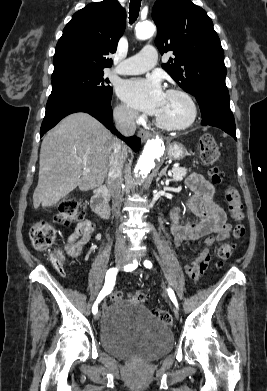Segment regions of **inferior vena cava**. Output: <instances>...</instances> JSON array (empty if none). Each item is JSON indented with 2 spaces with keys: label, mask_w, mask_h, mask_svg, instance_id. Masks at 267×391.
Masks as SVG:
<instances>
[{
  "label": "inferior vena cava",
  "mask_w": 267,
  "mask_h": 391,
  "mask_svg": "<svg viewBox=\"0 0 267 391\" xmlns=\"http://www.w3.org/2000/svg\"><path fill=\"white\" fill-rule=\"evenodd\" d=\"M137 113L134 111H122L114 115L116 128L124 136H132L136 130L135 120ZM126 147L119 140H116L111 147V155L108 164V184L112 195L113 208L116 215L119 214L120 203L122 201L121 182H122V168L124 163V151ZM116 252H123L126 250L125 240L117 235Z\"/></svg>",
  "instance_id": "602c4592"
}]
</instances>
